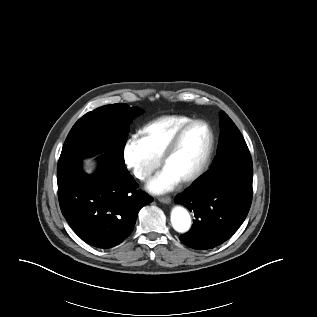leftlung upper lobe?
Masks as SVG:
<instances>
[{
    "mask_svg": "<svg viewBox=\"0 0 317 317\" xmlns=\"http://www.w3.org/2000/svg\"><path fill=\"white\" fill-rule=\"evenodd\" d=\"M220 119L221 132L217 155L207 173L215 176L231 165L253 167L246 142L236 125L224 111H221Z\"/></svg>",
    "mask_w": 317,
    "mask_h": 317,
    "instance_id": "obj_1",
    "label": "left lung upper lobe"
}]
</instances>
